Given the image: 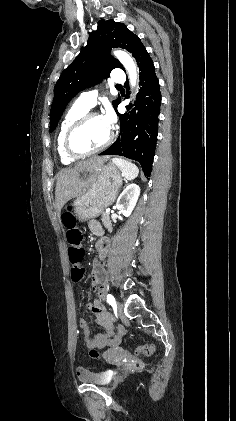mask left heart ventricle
Here are the masks:
<instances>
[{
	"label": "left heart ventricle",
	"mask_w": 236,
	"mask_h": 421,
	"mask_svg": "<svg viewBox=\"0 0 236 421\" xmlns=\"http://www.w3.org/2000/svg\"><path fill=\"white\" fill-rule=\"evenodd\" d=\"M110 129L102 117H93L84 122L74 135V146L86 152L101 145L108 137Z\"/></svg>",
	"instance_id": "left-heart-ventricle-1"
}]
</instances>
